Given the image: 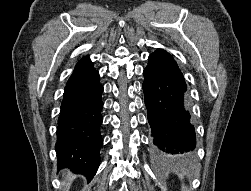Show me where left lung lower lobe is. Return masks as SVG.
I'll return each mask as SVG.
<instances>
[{"label": "left lung lower lobe", "mask_w": 251, "mask_h": 191, "mask_svg": "<svg viewBox=\"0 0 251 191\" xmlns=\"http://www.w3.org/2000/svg\"><path fill=\"white\" fill-rule=\"evenodd\" d=\"M143 91L154 153L161 157L192 154L196 136L189 112L187 86L176 61L158 49L144 69Z\"/></svg>", "instance_id": "0a47b994"}]
</instances>
